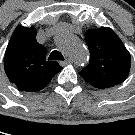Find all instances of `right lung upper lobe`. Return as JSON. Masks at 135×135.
Here are the masks:
<instances>
[{"instance_id":"cb5924a9","label":"right lung upper lobe","mask_w":135,"mask_h":135,"mask_svg":"<svg viewBox=\"0 0 135 135\" xmlns=\"http://www.w3.org/2000/svg\"><path fill=\"white\" fill-rule=\"evenodd\" d=\"M36 34L34 27L17 26L5 52V73L24 92L43 89L62 69L57 62L46 61L47 50L36 41Z\"/></svg>"}]
</instances>
